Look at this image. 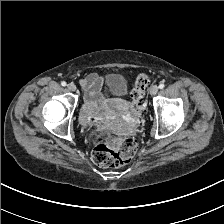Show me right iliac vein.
<instances>
[{
    "mask_svg": "<svg viewBox=\"0 0 224 224\" xmlns=\"http://www.w3.org/2000/svg\"><path fill=\"white\" fill-rule=\"evenodd\" d=\"M68 90L70 91H75L76 90V85L74 83H69L67 85Z\"/></svg>",
    "mask_w": 224,
    "mask_h": 224,
    "instance_id": "1",
    "label": "right iliac vein"
}]
</instances>
